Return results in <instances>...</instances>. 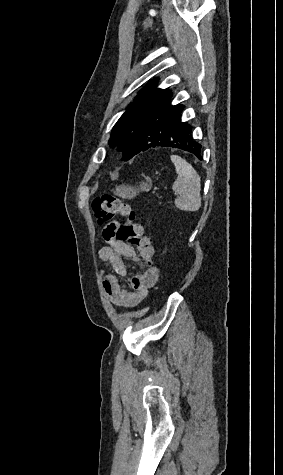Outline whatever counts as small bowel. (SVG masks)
<instances>
[{"label":"small bowel","mask_w":283,"mask_h":475,"mask_svg":"<svg viewBox=\"0 0 283 475\" xmlns=\"http://www.w3.org/2000/svg\"><path fill=\"white\" fill-rule=\"evenodd\" d=\"M102 235L106 244L100 249L99 257L112 270V273L100 270L104 291L114 305L134 308L157 283L160 270L155 265L154 271L142 272L130 278L129 287L123 285L120 278L127 277L123 259L128 258L139 264L138 255L132 245L117 240L119 225L116 219L105 220Z\"/></svg>","instance_id":"small-bowel-1"}]
</instances>
